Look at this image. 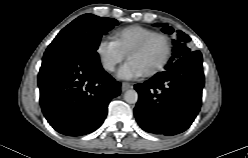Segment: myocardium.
I'll use <instances>...</instances> for the list:
<instances>
[{
    "label": "myocardium",
    "instance_id": "f54148a6",
    "mask_svg": "<svg viewBox=\"0 0 248 158\" xmlns=\"http://www.w3.org/2000/svg\"><path fill=\"white\" fill-rule=\"evenodd\" d=\"M154 38H161L164 43H165V54L164 57L162 59V61L152 70L144 73L145 76H154L156 74H158L160 71H162L165 66L167 65L170 57H171V53H172V44H171V40L170 38L163 34V33H158V32H153L149 35H147L146 37H144L143 39H141L138 43H136L130 50L129 52L126 54L127 58L129 59V57L136 52L141 51L152 39Z\"/></svg>",
    "mask_w": 248,
    "mask_h": 158
}]
</instances>
